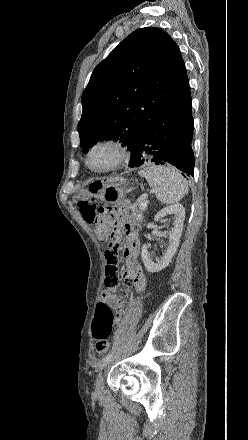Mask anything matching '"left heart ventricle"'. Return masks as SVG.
Wrapping results in <instances>:
<instances>
[{
  "instance_id": "left-heart-ventricle-1",
  "label": "left heart ventricle",
  "mask_w": 248,
  "mask_h": 440,
  "mask_svg": "<svg viewBox=\"0 0 248 440\" xmlns=\"http://www.w3.org/2000/svg\"><path fill=\"white\" fill-rule=\"evenodd\" d=\"M111 159L112 153L109 150H99L92 155L90 163L92 166L102 167L110 162Z\"/></svg>"
}]
</instances>
